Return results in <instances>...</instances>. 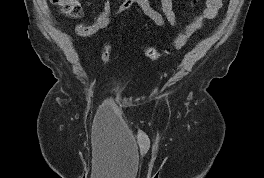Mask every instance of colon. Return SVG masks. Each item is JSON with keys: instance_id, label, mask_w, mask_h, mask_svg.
I'll return each mask as SVG.
<instances>
[{"instance_id": "5ec220e1", "label": "colon", "mask_w": 264, "mask_h": 178, "mask_svg": "<svg viewBox=\"0 0 264 178\" xmlns=\"http://www.w3.org/2000/svg\"><path fill=\"white\" fill-rule=\"evenodd\" d=\"M52 4L57 6L62 10V12L70 17H79L82 13V7L78 0H50ZM196 3V0H194ZM192 33L188 30H185L179 33L172 44V47L175 49L183 48L189 41ZM169 53V50H160L151 46H148L144 49L145 56L150 60H157L163 55ZM111 57V46L105 44L101 49V58L104 62H108Z\"/></svg>"}]
</instances>
